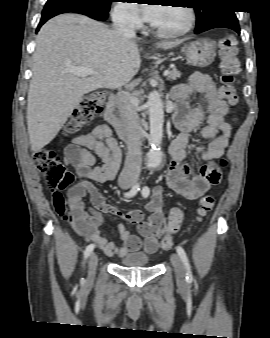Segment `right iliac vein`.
Here are the masks:
<instances>
[{
    "instance_id": "obj_1",
    "label": "right iliac vein",
    "mask_w": 270,
    "mask_h": 338,
    "mask_svg": "<svg viewBox=\"0 0 270 338\" xmlns=\"http://www.w3.org/2000/svg\"><path fill=\"white\" fill-rule=\"evenodd\" d=\"M129 185L124 184L122 185V188L127 189ZM98 264V257L95 253H92L89 258V264H88V277H87V284H91L95 278L96 274V267Z\"/></svg>"
}]
</instances>
